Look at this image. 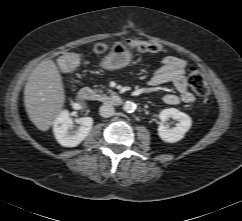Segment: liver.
Wrapping results in <instances>:
<instances>
[{"label": "liver", "instance_id": "liver-1", "mask_svg": "<svg viewBox=\"0 0 242 221\" xmlns=\"http://www.w3.org/2000/svg\"><path fill=\"white\" fill-rule=\"evenodd\" d=\"M65 91L61 74L53 60L41 61L30 74L24 89L29 119L41 131H47L61 112Z\"/></svg>", "mask_w": 242, "mask_h": 221}]
</instances>
